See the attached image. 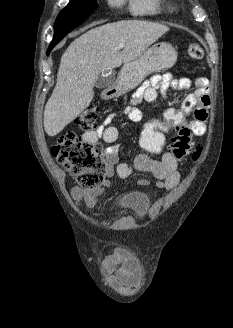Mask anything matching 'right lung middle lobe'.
<instances>
[{
    "mask_svg": "<svg viewBox=\"0 0 233 328\" xmlns=\"http://www.w3.org/2000/svg\"><path fill=\"white\" fill-rule=\"evenodd\" d=\"M97 6L96 0H71L69 5L60 12L56 22L64 20L84 21Z\"/></svg>",
    "mask_w": 233,
    "mask_h": 328,
    "instance_id": "right-lung-middle-lobe-1",
    "label": "right lung middle lobe"
}]
</instances>
